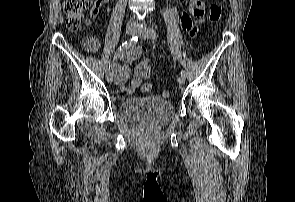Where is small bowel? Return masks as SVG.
Masks as SVG:
<instances>
[{"mask_svg":"<svg viewBox=\"0 0 295 202\" xmlns=\"http://www.w3.org/2000/svg\"><path fill=\"white\" fill-rule=\"evenodd\" d=\"M108 2L109 0H94L93 5L90 8V16L92 18L97 17L103 6ZM206 9L207 6L202 0H190L189 11L184 12L180 19L182 29L193 35L197 30V24L204 21ZM85 46L89 51L95 52L99 49L100 43L96 37L90 36L86 38ZM142 51L143 48L141 47H133L130 50L121 51L118 53L117 57L122 63H113V69L117 75V84L121 91L128 95H133L138 91L143 79H150V74L136 75L135 69L130 85L127 86L126 84L130 76L129 64L134 62L141 55Z\"/></svg>","mask_w":295,"mask_h":202,"instance_id":"c3829d8e","label":"small bowel"}]
</instances>
